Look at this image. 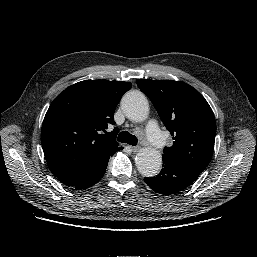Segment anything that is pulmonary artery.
I'll list each match as a JSON object with an SVG mask.
<instances>
[{
  "instance_id": "pulmonary-artery-1",
  "label": "pulmonary artery",
  "mask_w": 257,
  "mask_h": 257,
  "mask_svg": "<svg viewBox=\"0 0 257 257\" xmlns=\"http://www.w3.org/2000/svg\"><path fill=\"white\" fill-rule=\"evenodd\" d=\"M146 137L150 144L157 149H163L167 145L165 134L155 121L148 123L146 127Z\"/></svg>"
}]
</instances>
